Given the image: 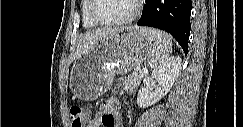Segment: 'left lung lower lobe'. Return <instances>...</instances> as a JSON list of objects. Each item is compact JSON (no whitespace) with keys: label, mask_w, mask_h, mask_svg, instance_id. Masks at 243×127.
<instances>
[{"label":"left lung lower lobe","mask_w":243,"mask_h":127,"mask_svg":"<svg viewBox=\"0 0 243 127\" xmlns=\"http://www.w3.org/2000/svg\"><path fill=\"white\" fill-rule=\"evenodd\" d=\"M191 8V0H146L137 25L170 33L187 54Z\"/></svg>","instance_id":"1"}]
</instances>
